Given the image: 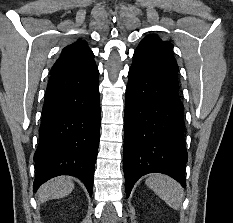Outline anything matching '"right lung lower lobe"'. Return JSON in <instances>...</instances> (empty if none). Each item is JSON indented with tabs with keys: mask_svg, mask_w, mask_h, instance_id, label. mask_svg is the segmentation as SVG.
<instances>
[{
	"mask_svg": "<svg viewBox=\"0 0 233 223\" xmlns=\"http://www.w3.org/2000/svg\"><path fill=\"white\" fill-rule=\"evenodd\" d=\"M98 76L95 62L51 74L34 154V192L53 177L71 175L92 195L100 130Z\"/></svg>",
	"mask_w": 233,
	"mask_h": 223,
	"instance_id": "obj_1",
	"label": "right lung lower lobe"
}]
</instances>
